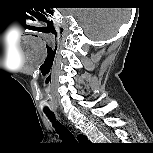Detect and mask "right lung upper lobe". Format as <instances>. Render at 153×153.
Returning <instances> with one entry per match:
<instances>
[{
    "mask_svg": "<svg viewBox=\"0 0 153 153\" xmlns=\"http://www.w3.org/2000/svg\"><path fill=\"white\" fill-rule=\"evenodd\" d=\"M78 139H79V141H81V142H88L87 137H86V136H83V135H79Z\"/></svg>",
    "mask_w": 153,
    "mask_h": 153,
    "instance_id": "1",
    "label": "right lung upper lobe"
}]
</instances>
